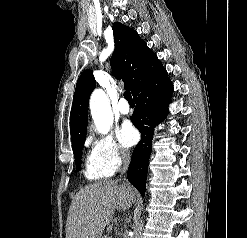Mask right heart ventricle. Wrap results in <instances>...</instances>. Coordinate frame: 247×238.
I'll return each instance as SVG.
<instances>
[{"label": "right heart ventricle", "instance_id": "right-heart-ventricle-1", "mask_svg": "<svg viewBox=\"0 0 247 238\" xmlns=\"http://www.w3.org/2000/svg\"><path fill=\"white\" fill-rule=\"evenodd\" d=\"M84 176L89 181H97L110 177L113 172L101 161L96 152L90 150L84 160Z\"/></svg>", "mask_w": 247, "mask_h": 238}]
</instances>
